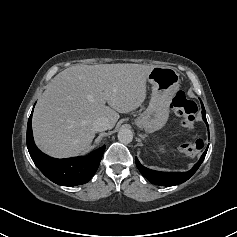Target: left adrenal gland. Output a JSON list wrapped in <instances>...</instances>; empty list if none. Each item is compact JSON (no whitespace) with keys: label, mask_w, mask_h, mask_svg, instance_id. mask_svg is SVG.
<instances>
[{"label":"left adrenal gland","mask_w":237,"mask_h":237,"mask_svg":"<svg viewBox=\"0 0 237 237\" xmlns=\"http://www.w3.org/2000/svg\"><path fill=\"white\" fill-rule=\"evenodd\" d=\"M146 137V135H141V138H145Z\"/></svg>","instance_id":"obj_1"}]
</instances>
